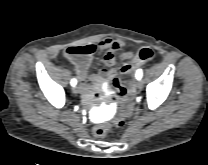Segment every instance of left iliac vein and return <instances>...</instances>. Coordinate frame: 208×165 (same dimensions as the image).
Returning <instances> with one entry per match:
<instances>
[{
    "mask_svg": "<svg viewBox=\"0 0 208 165\" xmlns=\"http://www.w3.org/2000/svg\"><path fill=\"white\" fill-rule=\"evenodd\" d=\"M135 85L139 89L143 88V82L141 80H137L136 83H135Z\"/></svg>",
    "mask_w": 208,
    "mask_h": 165,
    "instance_id": "1",
    "label": "left iliac vein"
}]
</instances>
